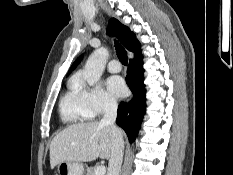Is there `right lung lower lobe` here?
Wrapping results in <instances>:
<instances>
[{"label": "right lung lower lobe", "instance_id": "obj_1", "mask_svg": "<svg viewBox=\"0 0 233 175\" xmlns=\"http://www.w3.org/2000/svg\"><path fill=\"white\" fill-rule=\"evenodd\" d=\"M142 65L141 53L136 55L133 60H130L126 83L133 93V98L129 102L120 103L116 119L117 125L124 129L131 143L138 134L146 108Z\"/></svg>", "mask_w": 233, "mask_h": 175}]
</instances>
